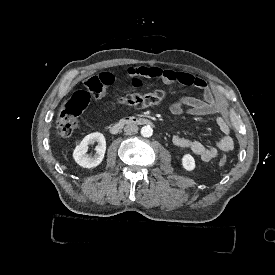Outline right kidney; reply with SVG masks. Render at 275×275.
<instances>
[{
  "instance_id": "1",
  "label": "right kidney",
  "mask_w": 275,
  "mask_h": 275,
  "mask_svg": "<svg viewBox=\"0 0 275 275\" xmlns=\"http://www.w3.org/2000/svg\"><path fill=\"white\" fill-rule=\"evenodd\" d=\"M94 142H98L95 147L96 155L90 157L86 154L88 145ZM106 151V141L102 133L95 132L91 133L83 138L79 145H77L73 152V158L77 164L84 168H92L98 166L103 158Z\"/></svg>"
}]
</instances>
